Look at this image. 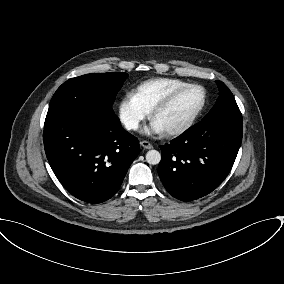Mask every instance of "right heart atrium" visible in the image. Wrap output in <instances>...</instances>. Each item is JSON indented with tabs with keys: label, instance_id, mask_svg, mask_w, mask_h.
<instances>
[{
	"label": "right heart atrium",
	"instance_id": "1",
	"mask_svg": "<svg viewBox=\"0 0 284 284\" xmlns=\"http://www.w3.org/2000/svg\"><path fill=\"white\" fill-rule=\"evenodd\" d=\"M148 115L149 111L142 106L134 93H127L118 104V118L129 131L138 129Z\"/></svg>",
	"mask_w": 284,
	"mask_h": 284
}]
</instances>
